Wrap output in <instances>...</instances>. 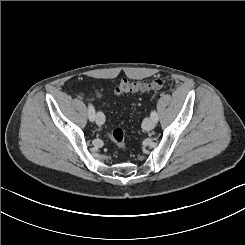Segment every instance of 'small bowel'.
<instances>
[{
    "label": "small bowel",
    "instance_id": "1",
    "mask_svg": "<svg viewBox=\"0 0 245 245\" xmlns=\"http://www.w3.org/2000/svg\"><path fill=\"white\" fill-rule=\"evenodd\" d=\"M100 94L98 91H94L91 95L92 98L98 97Z\"/></svg>",
    "mask_w": 245,
    "mask_h": 245
}]
</instances>
